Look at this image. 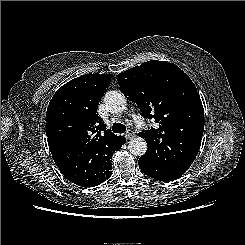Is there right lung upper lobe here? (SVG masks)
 Listing matches in <instances>:
<instances>
[{
  "label": "right lung upper lobe",
  "mask_w": 245,
  "mask_h": 245,
  "mask_svg": "<svg viewBox=\"0 0 245 245\" xmlns=\"http://www.w3.org/2000/svg\"><path fill=\"white\" fill-rule=\"evenodd\" d=\"M111 77L96 73L77 77L60 87L48 105L46 136L52 157L57 166H73L82 187L98 185L95 151L123 139L107 129L96 112Z\"/></svg>",
  "instance_id": "right-lung-upper-lobe-1"
}]
</instances>
